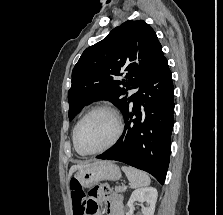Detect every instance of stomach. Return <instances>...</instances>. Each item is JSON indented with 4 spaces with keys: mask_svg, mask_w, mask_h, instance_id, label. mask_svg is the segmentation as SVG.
<instances>
[{
    "mask_svg": "<svg viewBox=\"0 0 223 215\" xmlns=\"http://www.w3.org/2000/svg\"><path fill=\"white\" fill-rule=\"evenodd\" d=\"M121 171L114 163V161H99V163H92L89 167L79 169L72 179H78V183L82 189L85 187H93L95 183H99L102 179H110V181H116L120 179ZM69 190H74L69 187Z\"/></svg>",
    "mask_w": 223,
    "mask_h": 215,
    "instance_id": "0dacf381",
    "label": "stomach"
}]
</instances>
